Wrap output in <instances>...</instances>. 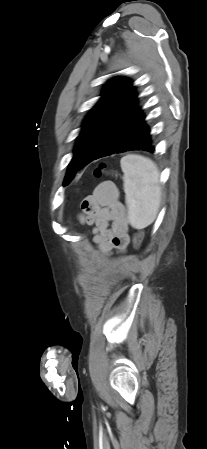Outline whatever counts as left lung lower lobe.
I'll return each mask as SVG.
<instances>
[{
    "label": "left lung lower lobe",
    "instance_id": "0a47b994",
    "mask_svg": "<svg viewBox=\"0 0 207 449\" xmlns=\"http://www.w3.org/2000/svg\"><path fill=\"white\" fill-rule=\"evenodd\" d=\"M129 150L153 153L155 147L142 110L137 107L110 132L93 160Z\"/></svg>",
    "mask_w": 207,
    "mask_h": 449
}]
</instances>
